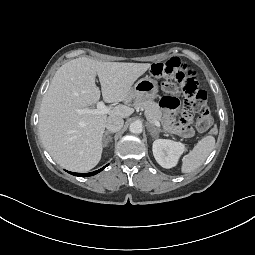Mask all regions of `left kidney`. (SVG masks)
<instances>
[{
  "label": "left kidney",
  "instance_id": "5707ae66",
  "mask_svg": "<svg viewBox=\"0 0 255 255\" xmlns=\"http://www.w3.org/2000/svg\"><path fill=\"white\" fill-rule=\"evenodd\" d=\"M185 149L183 143L168 139H156L152 146L157 163L167 169L176 166Z\"/></svg>",
  "mask_w": 255,
  "mask_h": 255
}]
</instances>
